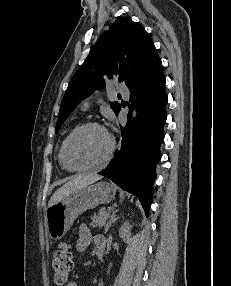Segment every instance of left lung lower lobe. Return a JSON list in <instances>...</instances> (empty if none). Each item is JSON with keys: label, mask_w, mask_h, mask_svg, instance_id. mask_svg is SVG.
<instances>
[{"label": "left lung lower lobe", "mask_w": 231, "mask_h": 286, "mask_svg": "<svg viewBox=\"0 0 231 286\" xmlns=\"http://www.w3.org/2000/svg\"><path fill=\"white\" fill-rule=\"evenodd\" d=\"M137 97L129 108L136 106L138 115L135 127H121V148L105 170L98 174L112 180L140 200L148 216L151 205L155 167L161 158L160 145L164 138L163 126L167 118L165 76L161 59L155 60L128 86ZM131 114V111L128 114Z\"/></svg>", "instance_id": "1"}]
</instances>
